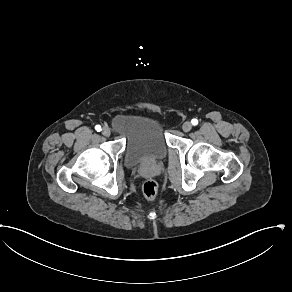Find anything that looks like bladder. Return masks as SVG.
<instances>
[{"mask_svg": "<svg viewBox=\"0 0 292 292\" xmlns=\"http://www.w3.org/2000/svg\"><path fill=\"white\" fill-rule=\"evenodd\" d=\"M114 131L124 138L125 162L129 166L163 159L168 153L164 121L149 113H123L112 121Z\"/></svg>", "mask_w": 292, "mask_h": 292, "instance_id": "31cf9c89", "label": "bladder"}]
</instances>
